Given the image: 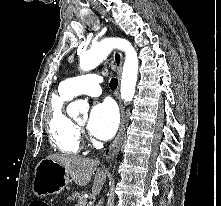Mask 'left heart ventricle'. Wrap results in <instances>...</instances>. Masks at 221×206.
<instances>
[{"mask_svg":"<svg viewBox=\"0 0 221 206\" xmlns=\"http://www.w3.org/2000/svg\"><path fill=\"white\" fill-rule=\"evenodd\" d=\"M84 122H85V118H84V119H82V120H78V123H79V124H81V125H83V124H84Z\"/></svg>","mask_w":221,"mask_h":206,"instance_id":"left-heart-ventricle-1","label":"left heart ventricle"}]
</instances>
